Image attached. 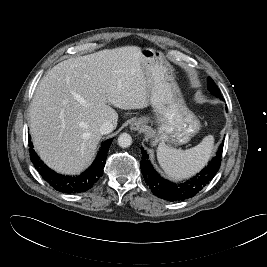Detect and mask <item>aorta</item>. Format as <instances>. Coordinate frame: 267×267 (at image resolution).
<instances>
[{
	"label": "aorta",
	"mask_w": 267,
	"mask_h": 267,
	"mask_svg": "<svg viewBox=\"0 0 267 267\" xmlns=\"http://www.w3.org/2000/svg\"><path fill=\"white\" fill-rule=\"evenodd\" d=\"M132 144V137L128 133H122L118 137V145L122 148H127Z\"/></svg>",
	"instance_id": "1"
}]
</instances>
